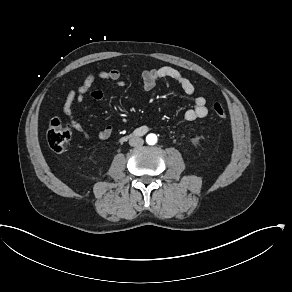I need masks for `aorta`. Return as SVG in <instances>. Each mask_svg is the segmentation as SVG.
Segmentation results:
<instances>
[{
	"label": "aorta",
	"instance_id": "1",
	"mask_svg": "<svg viewBox=\"0 0 292 292\" xmlns=\"http://www.w3.org/2000/svg\"><path fill=\"white\" fill-rule=\"evenodd\" d=\"M146 141L149 145H154L157 142V136L155 134H149L146 137Z\"/></svg>",
	"mask_w": 292,
	"mask_h": 292
}]
</instances>
